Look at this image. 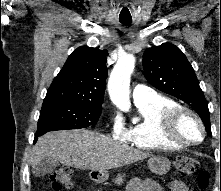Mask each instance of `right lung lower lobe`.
<instances>
[{"instance_id": "right-lung-lower-lobe-1", "label": "right lung lower lobe", "mask_w": 221, "mask_h": 191, "mask_svg": "<svg viewBox=\"0 0 221 191\" xmlns=\"http://www.w3.org/2000/svg\"><path fill=\"white\" fill-rule=\"evenodd\" d=\"M39 135H35L34 143L37 141Z\"/></svg>"}]
</instances>
